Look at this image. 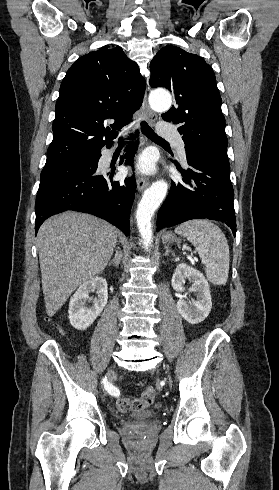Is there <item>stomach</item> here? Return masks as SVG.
<instances>
[{"label": "stomach", "instance_id": "0dacf381", "mask_svg": "<svg viewBox=\"0 0 279 490\" xmlns=\"http://www.w3.org/2000/svg\"><path fill=\"white\" fill-rule=\"evenodd\" d=\"M162 240H163V244H173V242H178L174 234H170V232H167V234H163Z\"/></svg>", "mask_w": 279, "mask_h": 490}]
</instances>
